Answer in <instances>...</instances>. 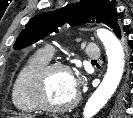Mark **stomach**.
I'll return each mask as SVG.
<instances>
[{"mask_svg":"<svg viewBox=\"0 0 133 118\" xmlns=\"http://www.w3.org/2000/svg\"><path fill=\"white\" fill-rule=\"evenodd\" d=\"M7 118H16V117H7Z\"/></svg>","mask_w":133,"mask_h":118,"instance_id":"1","label":"stomach"}]
</instances>
